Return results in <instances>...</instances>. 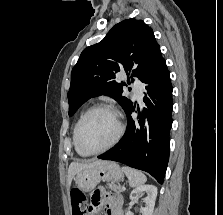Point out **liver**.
<instances>
[{
    "label": "liver",
    "mask_w": 223,
    "mask_h": 215,
    "mask_svg": "<svg viewBox=\"0 0 223 215\" xmlns=\"http://www.w3.org/2000/svg\"><path fill=\"white\" fill-rule=\"evenodd\" d=\"M101 161L102 159H95V161H91V163H77V161H72L68 167V187H70L73 177H75L79 171H82V169H89V167H94V165H99Z\"/></svg>",
    "instance_id": "6515ba94"
}]
</instances>
